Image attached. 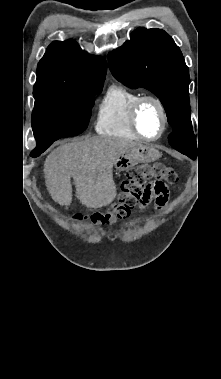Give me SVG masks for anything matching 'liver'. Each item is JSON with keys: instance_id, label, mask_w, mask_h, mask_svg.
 Here are the masks:
<instances>
[{"instance_id": "liver-1", "label": "liver", "mask_w": 221, "mask_h": 379, "mask_svg": "<svg viewBox=\"0 0 221 379\" xmlns=\"http://www.w3.org/2000/svg\"><path fill=\"white\" fill-rule=\"evenodd\" d=\"M137 145L128 140L96 136L52 150L43 170L52 199L60 205H70L73 178L82 204L93 209L107 206L116 197L113 165L122 153Z\"/></svg>"}]
</instances>
